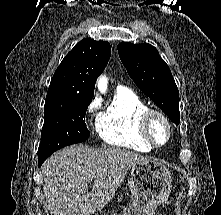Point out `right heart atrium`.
<instances>
[{"label": "right heart atrium", "mask_w": 221, "mask_h": 215, "mask_svg": "<svg viewBox=\"0 0 221 215\" xmlns=\"http://www.w3.org/2000/svg\"><path fill=\"white\" fill-rule=\"evenodd\" d=\"M99 107H100V101L95 98L87 107V113L89 115H93L95 114L98 110H99Z\"/></svg>", "instance_id": "obj_1"}]
</instances>
